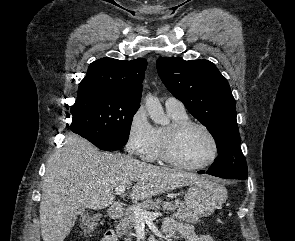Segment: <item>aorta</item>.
<instances>
[{
	"instance_id": "1",
	"label": "aorta",
	"mask_w": 295,
	"mask_h": 241,
	"mask_svg": "<svg viewBox=\"0 0 295 241\" xmlns=\"http://www.w3.org/2000/svg\"><path fill=\"white\" fill-rule=\"evenodd\" d=\"M144 101L148 115L154 123L159 125H167L169 123V119L165 115L162 105L157 97L152 96L149 93L146 95Z\"/></svg>"
}]
</instances>
